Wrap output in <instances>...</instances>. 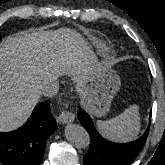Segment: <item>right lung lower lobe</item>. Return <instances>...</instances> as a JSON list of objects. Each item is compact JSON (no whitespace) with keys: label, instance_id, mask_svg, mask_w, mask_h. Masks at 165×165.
I'll use <instances>...</instances> for the list:
<instances>
[{"label":"right lung lower lobe","instance_id":"right-lung-lower-lobe-1","mask_svg":"<svg viewBox=\"0 0 165 165\" xmlns=\"http://www.w3.org/2000/svg\"><path fill=\"white\" fill-rule=\"evenodd\" d=\"M57 129L50 101L36 106L28 121L12 132H0V162L6 165H39L46 140Z\"/></svg>","mask_w":165,"mask_h":165}]
</instances>
